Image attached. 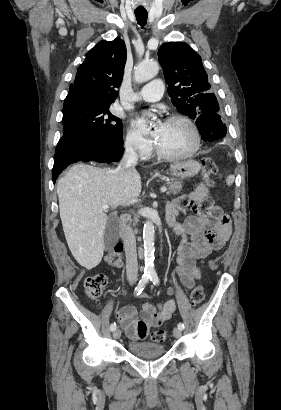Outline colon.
<instances>
[{"label":"colon","mask_w":281,"mask_h":410,"mask_svg":"<svg viewBox=\"0 0 281 410\" xmlns=\"http://www.w3.org/2000/svg\"><path fill=\"white\" fill-rule=\"evenodd\" d=\"M218 174V166L211 158H205L202 162V177L205 186L211 187L213 184V177ZM197 212L201 214H214L219 213V207L216 204V199L210 197L202 200L197 205ZM225 223L230 222V218L227 215H222ZM106 261L110 266L119 267L122 262V245L117 244L114 250L110 251L106 255ZM107 285V278L103 274L91 275L84 280V289L86 295L93 299L98 300L102 297ZM204 299V290L201 285H197L190 294V304L193 307L198 306ZM151 340L156 343L165 342L167 339V333L164 330H154L151 332Z\"/></svg>","instance_id":"5ec220e1"}]
</instances>
